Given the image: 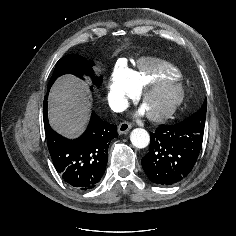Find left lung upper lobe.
Returning a JSON list of instances; mask_svg holds the SVG:
<instances>
[{
	"label": "left lung upper lobe",
	"mask_w": 236,
	"mask_h": 236,
	"mask_svg": "<svg viewBox=\"0 0 236 236\" xmlns=\"http://www.w3.org/2000/svg\"><path fill=\"white\" fill-rule=\"evenodd\" d=\"M206 110H207V102L205 101L202 107L196 113H194L184 121L193 125L204 127L206 119Z\"/></svg>",
	"instance_id": "1"
}]
</instances>
